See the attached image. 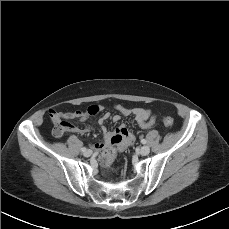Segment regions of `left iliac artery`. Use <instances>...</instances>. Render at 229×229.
I'll return each mask as SVG.
<instances>
[{
    "label": "left iliac artery",
    "instance_id": "left-iliac-artery-1",
    "mask_svg": "<svg viewBox=\"0 0 229 229\" xmlns=\"http://www.w3.org/2000/svg\"><path fill=\"white\" fill-rule=\"evenodd\" d=\"M141 143L142 144H145L146 143V140L145 139H141Z\"/></svg>",
    "mask_w": 229,
    "mask_h": 229
}]
</instances>
